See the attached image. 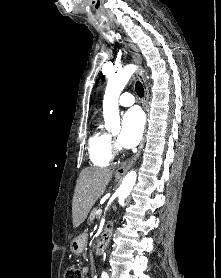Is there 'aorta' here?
Here are the masks:
<instances>
[{
	"instance_id": "aorta-1",
	"label": "aorta",
	"mask_w": 221,
	"mask_h": 278,
	"mask_svg": "<svg viewBox=\"0 0 221 278\" xmlns=\"http://www.w3.org/2000/svg\"><path fill=\"white\" fill-rule=\"evenodd\" d=\"M136 68L137 67L135 65H127L108 78L103 99V116L106 125H109L112 119L119 118V96ZM136 179L137 174L135 171H130L124 177L118 190V201L120 204H123L127 196L130 194L133 186L135 185Z\"/></svg>"
}]
</instances>
